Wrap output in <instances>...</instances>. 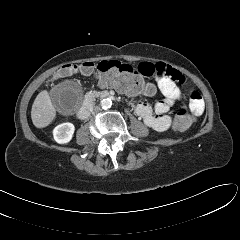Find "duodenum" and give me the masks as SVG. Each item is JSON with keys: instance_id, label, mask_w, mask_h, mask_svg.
Returning a JSON list of instances; mask_svg holds the SVG:
<instances>
[{"instance_id": "410a0bca", "label": "duodenum", "mask_w": 240, "mask_h": 240, "mask_svg": "<svg viewBox=\"0 0 240 240\" xmlns=\"http://www.w3.org/2000/svg\"><path fill=\"white\" fill-rule=\"evenodd\" d=\"M111 97H112V95L107 91H102V92H98L96 94L89 95L85 99L82 107L77 112L78 118H80V119L87 118V116L89 115L90 110L93 106L95 98L106 99V98H111Z\"/></svg>"}]
</instances>
